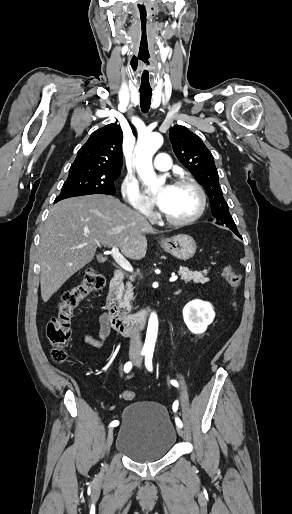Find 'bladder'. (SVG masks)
Returning a JSON list of instances; mask_svg holds the SVG:
<instances>
[{
	"mask_svg": "<svg viewBox=\"0 0 292 514\" xmlns=\"http://www.w3.org/2000/svg\"><path fill=\"white\" fill-rule=\"evenodd\" d=\"M176 439L166 408L159 403L138 401L124 408L115 447L134 462L151 463L163 459Z\"/></svg>",
	"mask_w": 292,
	"mask_h": 514,
	"instance_id": "1",
	"label": "bladder"
}]
</instances>
